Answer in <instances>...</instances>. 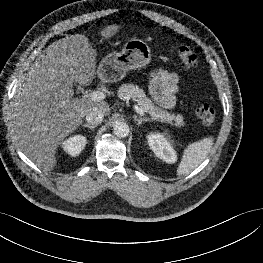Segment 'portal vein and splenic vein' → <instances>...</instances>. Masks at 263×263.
<instances>
[{
	"instance_id": "obj_1",
	"label": "portal vein and splenic vein",
	"mask_w": 263,
	"mask_h": 263,
	"mask_svg": "<svg viewBox=\"0 0 263 263\" xmlns=\"http://www.w3.org/2000/svg\"><path fill=\"white\" fill-rule=\"evenodd\" d=\"M88 97L93 101H102L103 99H105V94L102 91H93L88 94ZM134 109L141 116L144 115V112L138 105H134Z\"/></svg>"
}]
</instances>
